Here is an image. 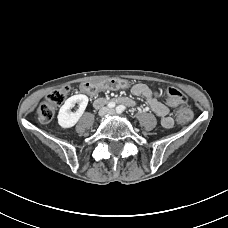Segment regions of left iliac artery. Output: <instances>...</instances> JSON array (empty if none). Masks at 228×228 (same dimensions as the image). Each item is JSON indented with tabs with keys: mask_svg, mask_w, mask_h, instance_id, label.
Returning <instances> with one entry per match:
<instances>
[{
	"mask_svg": "<svg viewBox=\"0 0 228 228\" xmlns=\"http://www.w3.org/2000/svg\"><path fill=\"white\" fill-rule=\"evenodd\" d=\"M125 110V106L119 105L116 107V112L121 114Z\"/></svg>",
	"mask_w": 228,
	"mask_h": 228,
	"instance_id": "1",
	"label": "left iliac artery"
}]
</instances>
